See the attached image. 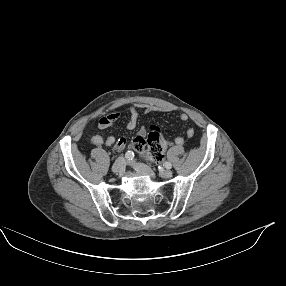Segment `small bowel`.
Returning a JSON list of instances; mask_svg holds the SVG:
<instances>
[{"mask_svg": "<svg viewBox=\"0 0 286 286\" xmlns=\"http://www.w3.org/2000/svg\"><path fill=\"white\" fill-rule=\"evenodd\" d=\"M140 109H144L148 113L166 112L169 110L168 108L158 106V105H153V104L131 105L128 109L129 119L127 121V128L129 130H134L137 127ZM119 117H120L119 112H113L106 116L101 117L98 121V128L106 129L110 127L114 122H116L119 119ZM188 119H189V116L186 113H182L179 116V120L181 122H186ZM146 133L147 131L145 127L140 128V130L138 131L139 136H145ZM186 136L188 138H192L194 136V130L192 128H188L186 130ZM91 142L92 144L96 146L105 145V146L110 147L116 143V138L114 136L104 137L100 134H96L91 137ZM184 143H185L184 137L182 136L176 137L175 144L177 146H182ZM163 145L165 148L167 147L168 141L166 139L163 141ZM122 148L123 147H119L118 149H122Z\"/></svg>", "mask_w": 286, "mask_h": 286, "instance_id": "small-bowel-1", "label": "small bowel"}]
</instances>
